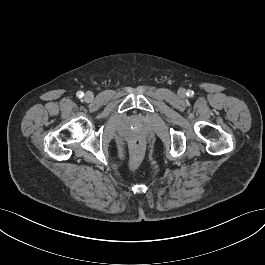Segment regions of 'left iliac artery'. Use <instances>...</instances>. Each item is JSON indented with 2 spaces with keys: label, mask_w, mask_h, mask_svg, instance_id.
<instances>
[{
  "label": "left iliac artery",
  "mask_w": 265,
  "mask_h": 265,
  "mask_svg": "<svg viewBox=\"0 0 265 265\" xmlns=\"http://www.w3.org/2000/svg\"><path fill=\"white\" fill-rule=\"evenodd\" d=\"M187 95L191 97V96H193V95H194V92H193V91H191V90H188V92H187Z\"/></svg>",
  "instance_id": "1"
}]
</instances>
